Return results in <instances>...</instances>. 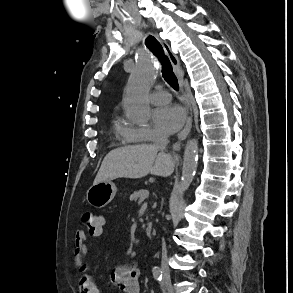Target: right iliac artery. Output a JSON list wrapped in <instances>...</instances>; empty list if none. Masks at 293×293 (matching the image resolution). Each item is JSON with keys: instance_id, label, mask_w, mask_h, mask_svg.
<instances>
[{"instance_id": "1", "label": "right iliac artery", "mask_w": 293, "mask_h": 293, "mask_svg": "<svg viewBox=\"0 0 293 293\" xmlns=\"http://www.w3.org/2000/svg\"><path fill=\"white\" fill-rule=\"evenodd\" d=\"M152 272H153V276H154V278H155L157 281H161V280H162V271H161L160 268L155 267V268H153ZM162 290H163V293H164L165 289L162 288Z\"/></svg>"}]
</instances>
